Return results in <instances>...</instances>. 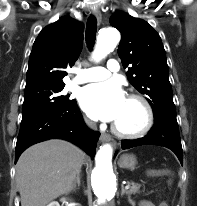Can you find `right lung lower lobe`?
<instances>
[{
  "instance_id": "obj_1",
  "label": "right lung lower lobe",
  "mask_w": 197,
  "mask_h": 206,
  "mask_svg": "<svg viewBox=\"0 0 197 206\" xmlns=\"http://www.w3.org/2000/svg\"><path fill=\"white\" fill-rule=\"evenodd\" d=\"M99 136V132L86 127L74 101L65 108L22 119L16 143L15 162L29 146L51 138L70 141L94 158Z\"/></svg>"
}]
</instances>
